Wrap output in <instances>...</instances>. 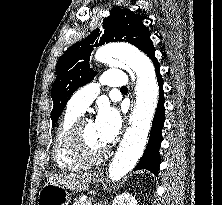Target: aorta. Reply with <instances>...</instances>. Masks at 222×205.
<instances>
[{
    "mask_svg": "<svg viewBox=\"0 0 222 205\" xmlns=\"http://www.w3.org/2000/svg\"><path fill=\"white\" fill-rule=\"evenodd\" d=\"M98 57L107 64L128 69L135 78L129 125L107 169L108 181L117 183L135 167L145 152L159 88L153 63L136 47L126 43L108 44L98 51Z\"/></svg>",
    "mask_w": 222,
    "mask_h": 205,
    "instance_id": "aorta-1",
    "label": "aorta"
}]
</instances>
